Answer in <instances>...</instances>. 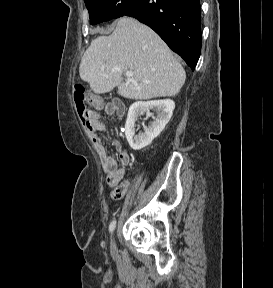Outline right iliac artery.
I'll return each instance as SVG.
<instances>
[{"label": "right iliac artery", "instance_id": "1", "mask_svg": "<svg viewBox=\"0 0 273 288\" xmlns=\"http://www.w3.org/2000/svg\"><path fill=\"white\" fill-rule=\"evenodd\" d=\"M115 227H116V221L114 220V221H112V222L110 223V225H109V231H110V232H113L114 229H115Z\"/></svg>", "mask_w": 273, "mask_h": 288}]
</instances>
